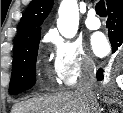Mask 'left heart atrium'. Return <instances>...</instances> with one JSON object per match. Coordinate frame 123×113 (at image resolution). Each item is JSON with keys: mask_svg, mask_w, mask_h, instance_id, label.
<instances>
[{"mask_svg": "<svg viewBox=\"0 0 123 113\" xmlns=\"http://www.w3.org/2000/svg\"><path fill=\"white\" fill-rule=\"evenodd\" d=\"M91 48L98 57L105 56L109 51V44L102 33H96L91 37Z\"/></svg>", "mask_w": 123, "mask_h": 113, "instance_id": "1", "label": "left heart atrium"}]
</instances>
